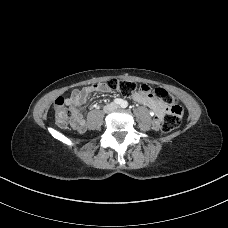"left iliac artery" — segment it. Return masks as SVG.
I'll list each match as a JSON object with an SVG mask.
<instances>
[{
    "instance_id": "left-iliac-artery-1",
    "label": "left iliac artery",
    "mask_w": 228,
    "mask_h": 228,
    "mask_svg": "<svg viewBox=\"0 0 228 228\" xmlns=\"http://www.w3.org/2000/svg\"><path fill=\"white\" fill-rule=\"evenodd\" d=\"M128 106V103L126 102V101H123L122 103H121V107L122 108H126Z\"/></svg>"
}]
</instances>
